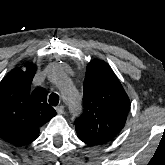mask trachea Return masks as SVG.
Returning <instances> with one entry per match:
<instances>
[{
    "mask_svg": "<svg viewBox=\"0 0 165 165\" xmlns=\"http://www.w3.org/2000/svg\"><path fill=\"white\" fill-rule=\"evenodd\" d=\"M59 103V96L56 93H51L49 96V104L57 106Z\"/></svg>",
    "mask_w": 165,
    "mask_h": 165,
    "instance_id": "obj_1",
    "label": "trachea"
}]
</instances>
